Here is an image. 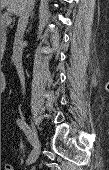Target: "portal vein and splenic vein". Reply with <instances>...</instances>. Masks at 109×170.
I'll list each match as a JSON object with an SVG mask.
<instances>
[{"instance_id":"1","label":"portal vein and splenic vein","mask_w":109,"mask_h":170,"mask_svg":"<svg viewBox=\"0 0 109 170\" xmlns=\"http://www.w3.org/2000/svg\"><path fill=\"white\" fill-rule=\"evenodd\" d=\"M11 21H12V19L10 18V17H3L2 19H1V25L2 26H8V25H10L11 24Z\"/></svg>"}]
</instances>
